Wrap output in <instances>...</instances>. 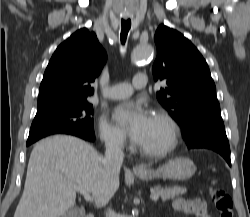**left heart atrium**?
<instances>
[{
    "label": "left heart atrium",
    "instance_id": "obj_1",
    "mask_svg": "<svg viewBox=\"0 0 250 217\" xmlns=\"http://www.w3.org/2000/svg\"><path fill=\"white\" fill-rule=\"evenodd\" d=\"M114 119L139 144L150 124L151 115L139 104H126L116 108Z\"/></svg>",
    "mask_w": 250,
    "mask_h": 217
}]
</instances>
